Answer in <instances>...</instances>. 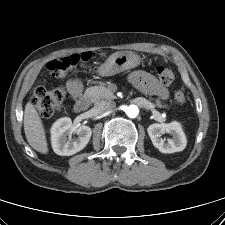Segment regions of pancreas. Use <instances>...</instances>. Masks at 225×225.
<instances>
[{
    "label": "pancreas",
    "mask_w": 225,
    "mask_h": 225,
    "mask_svg": "<svg viewBox=\"0 0 225 225\" xmlns=\"http://www.w3.org/2000/svg\"><path fill=\"white\" fill-rule=\"evenodd\" d=\"M86 95L91 97L94 100L103 99V98H107V99H114L115 98L113 92L110 89H108L104 86H101V85L89 87L86 90ZM155 104L159 108L167 107V105L162 104L159 99L155 100Z\"/></svg>",
    "instance_id": "pancreas-1"
}]
</instances>
